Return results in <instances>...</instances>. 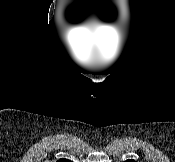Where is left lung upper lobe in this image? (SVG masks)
<instances>
[{
	"label": "left lung upper lobe",
	"mask_w": 175,
	"mask_h": 162,
	"mask_svg": "<svg viewBox=\"0 0 175 162\" xmlns=\"http://www.w3.org/2000/svg\"><path fill=\"white\" fill-rule=\"evenodd\" d=\"M125 162H136V161L129 159V160H126Z\"/></svg>",
	"instance_id": "5c2ea615"
}]
</instances>
